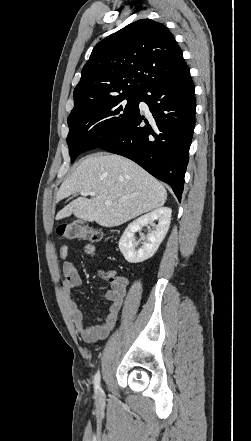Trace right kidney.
I'll list each match as a JSON object with an SVG mask.
<instances>
[{"instance_id": "right-kidney-1", "label": "right kidney", "mask_w": 251, "mask_h": 441, "mask_svg": "<svg viewBox=\"0 0 251 441\" xmlns=\"http://www.w3.org/2000/svg\"><path fill=\"white\" fill-rule=\"evenodd\" d=\"M172 210L168 207L157 208L131 222L119 240V249L129 263H140L151 258L164 240L171 221ZM158 220L155 230L147 234L146 239L135 240V233L144 225L152 224ZM141 244L140 248H136Z\"/></svg>"}]
</instances>
